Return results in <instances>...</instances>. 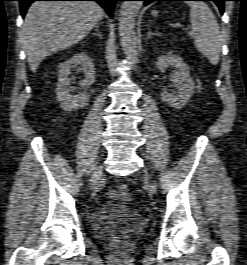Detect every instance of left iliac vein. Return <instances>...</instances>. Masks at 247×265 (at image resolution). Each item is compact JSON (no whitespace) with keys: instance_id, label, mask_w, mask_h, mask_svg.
Here are the masks:
<instances>
[{"instance_id":"4c4485c4","label":"left iliac vein","mask_w":247,"mask_h":265,"mask_svg":"<svg viewBox=\"0 0 247 265\" xmlns=\"http://www.w3.org/2000/svg\"><path fill=\"white\" fill-rule=\"evenodd\" d=\"M144 173H145L146 178L148 179L149 178V175H148L147 171L144 170Z\"/></svg>"}]
</instances>
